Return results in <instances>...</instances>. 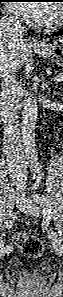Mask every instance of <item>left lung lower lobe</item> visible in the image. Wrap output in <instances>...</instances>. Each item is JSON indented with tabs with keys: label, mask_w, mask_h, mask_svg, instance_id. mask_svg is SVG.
Masks as SVG:
<instances>
[{
	"label": "left lung lower lobe",
	"mask_w": 63,
	"mask_h": 297,
	"mask_svg": "<svg viewBox=\"0 0 63 297\" xmlns=\"http://www.w3.org/2000/svg\"><path fill=\"white\" fill-rule=\"evenodd\" d=\"M52 35H53V36L63 35V30H62V31H59V32H57V33H53Z\"/></svg>",
	"instance_id": "0a47b994"
}]
</instances>
